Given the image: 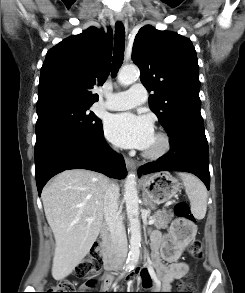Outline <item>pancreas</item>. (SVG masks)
I'll use <instances>...</instances> for the list:
<instances>
[{
    "mask_svg": "<svg viewBox=\"0 0 245 293\" xmlns=\"http://www.w3.org/2000/svg\"><path fill=\"white\" fill-rule=\"evenodd\" d=\"M154 220V226L157 229H165L168 228L169 222L172 220V214H166L165 212L157 211L151 217Z\"/></svg>",
    "mask_w": 245,
    "mask_h": 293,
    "instance_id": "pancreas-1",
    "label": "pancreas"
}]
</instances>
